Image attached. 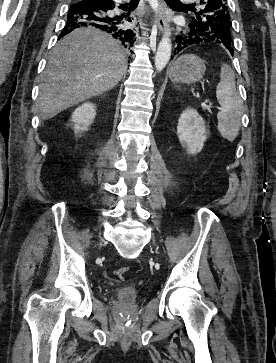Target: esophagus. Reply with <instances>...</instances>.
<instances>
[{
	"instance_id": "esophagus-1",
	"label": "esophagus",
	"mask_w": 276,
	"mask_h": 363,
	"mask_svg": "<svg viewBox=\"0 0 276 363\" xmlns=\"http://www.w3.org/2000/svg\"><path fill=\"white\" fill-rule=\"evenodd\" d=\"M156 20L158 28L161 32H168L169 30V16L167 7L164 0H158V7L156 10Z\"/></svg>"
}]
</instances>
